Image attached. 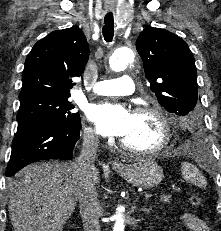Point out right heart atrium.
Returning a JSON list of instances; mask_svg holds the SVG:
<instances>
[{"instance_id":"d8ad5b80","label":"right heart atrium","mask_w":221,"mask_h":231,"mask_svg":"<svg viewBox=\"0 0 221 231\" xmlns=\"http://www.w3.org/2000/svg\"><path fill=\"white\" fill-rule=\"evenodd\" d=\"M85 139L87 141H90V142H96L97 141V135L91 128H87L85 130Z\"/></svg>"}]
</instances>
